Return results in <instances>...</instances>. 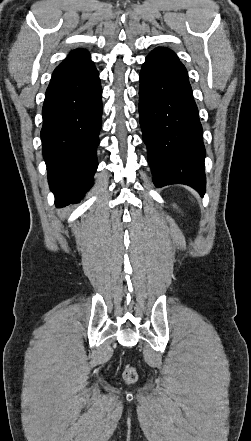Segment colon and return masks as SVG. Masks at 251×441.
Instances as JSON below:
<instances>
[{
  "label": "colon",
  "mask_w": 251,
  "mask_h": 441,
  "mask_svg": "<svg viewBox=\"0 0 251 441\" xmlns=\"http://www.w3.org/2000/svg\"><path fill=\"white\" fill-rule=\"evenodd\" d=\"M123 378L128 384L134 383L137 380L136 370L132 366L127 365L123 372Z\"/></svg>",
  "instance_id": "colon-1"
}]
</instances>
